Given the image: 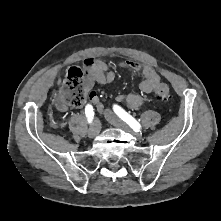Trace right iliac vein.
<instances>
[{"instance_id": "1", "label": "right iliac vein", "mask_w": 221, "mask_h": 221, "mask_svg": "<svg viewBox=\"0 0 221 221\" xmlns=\"http://www.w3.org/2000/svg\"><path fill=\"white\" fill-rule=\"evenodd\" d=\"M100 130H101V123L99 120L96 119L89 130V137L94 138L99 134Z\"/></svg>"}]
</instances>
